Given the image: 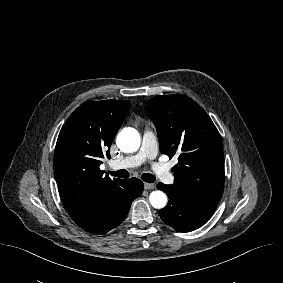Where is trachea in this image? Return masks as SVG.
<instances>
[{
    "label": "trachea",
    "instance_id": "obj_1",
    "mask_svg": "<svg viewBox=\"0 0 283 283\" xmlns=\"http://www.w3.org/2000/svg\"><path fill=\"white\" fill-rule=\"evenodd\" d=\"M109 173L112 176H116V177H119V178H129V176H130L129 172L127 170H124V169L114 171V172L109 171ZM141 178L147 183H153L156 180L155 176L150 174V173L142 174Z\"/></svg>",
    "mask_w": 283,
    "mask_h": 283
}]
</instances>
